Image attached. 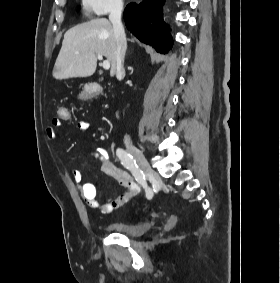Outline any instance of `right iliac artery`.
<instances>
[{
  "mask_svg": "<svg viewBox=\"0 0 280 283\" xmlns=\"http://www.w3.org/2000/svg\"><path fill=\"white\" fill-rule=\"evenodd\" d=\"M116 155L121 160L122 165L132 173L136 181L146 189V197L150 199L151 192L147 188L145 176L142 170L138 167L135 159H133L132 155H130L126 150L122 148L117 149Z\"/></svg>",
  "mask_w": 280,
  "mask_h": 283,
  "instance_id": "82829eb1",
  "label": "right iliac artery"
}]
</instances>
